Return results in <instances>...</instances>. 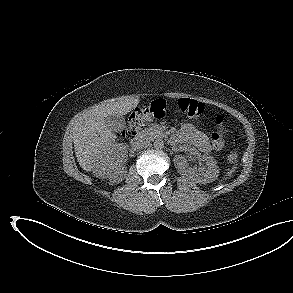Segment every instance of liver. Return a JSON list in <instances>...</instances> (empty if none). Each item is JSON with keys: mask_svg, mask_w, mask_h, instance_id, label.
Instances as JSON below:
<instances>
[{"mask_svg": "<svg viewBox=\"0 0 293 293\" xmlns=\"http://www.w3.org/2000/svg\"><path fill=\"white\" fill-rule=\"evenodd\" d=\"M138 104V98L122 97L94 106L74 118L71 134L77 161L83 170L107 178L108 172L122 169L128 145L117 142L116 134L105 124V118L126 115Z\"/></svg>", "mask_w": 293, "mask_h": 293, "instance_id": "obj_1", "label": "liver"}]
</instances>
